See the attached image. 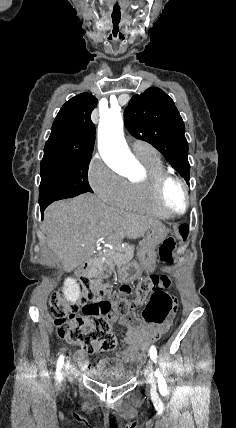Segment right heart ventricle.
Here are the masks:
<instances>
[{
    "label": "right heart ventricle",
    "instance_id": "1",
    "mask_svg": "<svg viewBox=\"0 0 236 428\" xmlns=\"http://www.w3.org/2000/svg\"><path fill=\"white\" fill-rule=\"evenodd\" d=\"M144 168V174L138 179L127 182V192L122 207L137 210L153 217L168 220L173 216L162 211L156 204L152 194V180L157 175L166 172L160 158L153 150L151 154L136 155Z\"/></svg>",
    "mask_w": 236,
    "mask_h": 428
}]
</instances>
